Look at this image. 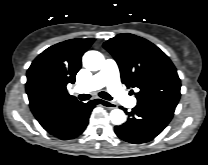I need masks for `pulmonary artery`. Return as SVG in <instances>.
I'll use <instances>...</instances> for the list:
<instances>
[{"mask_svg":"<svg viewBox=\"0 0 208 165\" xmlns=\"http://www.w3.org/2000/svg\"><path fill=\"white\" fill-rule=\"evenodd\" d=\"M104 86H107L109 92L122 105L127 107L135 106L136 98L128 95L121 87L118 66L112 59H107L102 69L94 74L88 81L79 84L78 89L90 92Z\"/></svg>","mask_w":208,"mask_h":165,"instance_id":"e3ab8cb5","label":"pulmonary artery"}]
</instances>
